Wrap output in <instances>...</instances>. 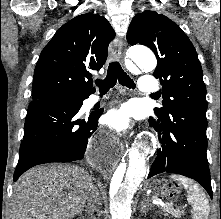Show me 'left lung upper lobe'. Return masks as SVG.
<instances>
[{"label": "left lung upper lobe", "instance_id": "1", "mask_svg": "<svg viewBox=\"0 0 221 219\" xmlns=\"http://www.w3.org/2000/svg\"><path fill=\"white\" fill-rule=\"evenodd\" d=\"M127 41L148 46L157 57L154 77L162 84L163 107L155 114L163 119L178 108L206 118L207 101L203 73L196 50L172 20L154 11L137 14L129 26Z\"/></svg>", "mask_w": 221, "mask_h": 219}]
</instances>
